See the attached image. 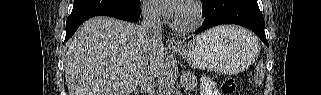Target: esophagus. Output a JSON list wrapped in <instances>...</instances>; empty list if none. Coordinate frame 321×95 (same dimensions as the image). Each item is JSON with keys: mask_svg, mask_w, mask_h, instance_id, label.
<instances>
[{"mask_svg": "<svg viewBox=\"0 0 321 95\" xmlns=\"http://www.w3.org/2000/svg\"><path fill=\"white\" fill-rule=\"evenodd\" d=\"M167 45L173 48L182 47V42L175 37H169L167 40Z\"/></svg>", "mask_w": 321, "mask_h": 95, "instance_id": "34e87169", "label": "esophagus"}]
</instances>
